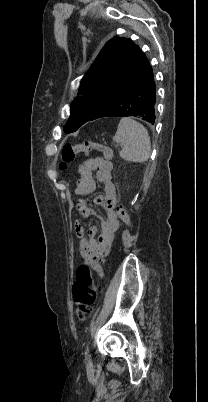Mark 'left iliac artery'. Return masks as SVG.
Segmentation results:
<instances>
[{
    "instance_id": "1",
    "label": "left iliac artery",
    "mask_w": 208,
    "mask_h": 402,
    "mask_svg": "<svg viewBox=\"0 0 208 402\" xmlns=\"http://www.w3.org/2000/svg\"><path fill=\"white\" fill-rule=\"evenodd\" d=\"M88 354H89V345L87 344L86 351H85V356L88 357L89 356Z\"/></svg>"
}]
</instances>
